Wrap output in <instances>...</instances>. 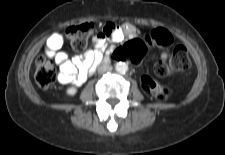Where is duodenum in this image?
Segmentation results:
<instances>
[{
  "label": "duodenum",
  "mask_w": 225,
  "mask_h": 155,
  "mask_svg": "<svg viewBox=\"0 0 225 155\" xmlns=\"http://www.w3.org/2000/svg\"><path fill=\"white\" fill-rule=\"evenodd\" d=\"M109 62H110L109 57H104V58L100 59V60L97 62V65H99V64H107V63H109Z\"/></svg>",
  "instance_id": "410a0bca"
}]
</instances>
